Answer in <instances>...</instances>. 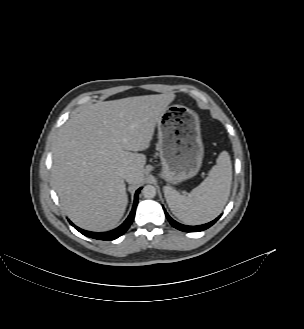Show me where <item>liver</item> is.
Returning a JSON list of instances; mask_svg holds the SVG:
<instances>
[{"label": "liver", "instance_id": "liver-1", "mask_svg": "<svg viewBox=\"0 0 304 329\" xmlns=\"http://www.w3.org/2000/svg\"><path fill=\"white\" fill-rule=\"evenodd\" d=\"M175 95L134 96L88 105L59 130L53 144V185L62 209L79 227L107 231L128 203L121 174L144 180L146 150Z\"/></svg>", "mask_w": 304, "mask_h": 329}]
</instances>
